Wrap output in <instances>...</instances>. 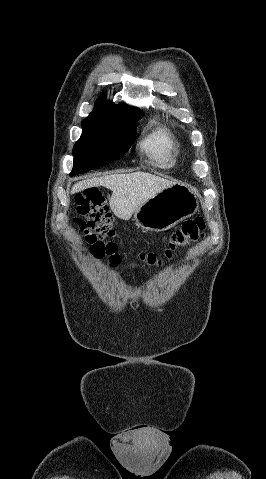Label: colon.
<instances>
[{
	"mask_svg": "<svg viewBox=\"0 0 266 479\" xmlns=\"http://www.w3.org/2000/svg\"><path fill=\"white\" fill-rule=\"evenodd\" d=\"M75 203V223L84 233L85 243L92 253L98 256L108 255L110 265L117 266L120 256L116 244L110 241L115 237L116 230L104 196L98 189L90 188L77 194ZM205 228L206 222L201 217L185 221L172 233L163 254L140 252L138 258L149 266H159L164 260L172 258L191 243L201 239Z\"/></svg>",
	"mask_w": 266,
	"mask_h": 479,
	"instance_id": "1",
	"label": "colon"
}]
</instances>
